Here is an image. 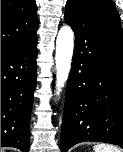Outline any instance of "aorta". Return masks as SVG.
Masks as SVG:
<instances>
[{
  "label": "aorta",
  "mask_w": 123,
  "mask_h": 152,
  "mask_svg": "<svg viewBox=\"0 0 123 152\" xmlns=\"http://www.w3.org/2000/svg\"><path fill=\"white\" fill-rule=\"evenodd\" d=\"M74 49V33L71 27L60 28L56 39V94L59 95L68 79Z\"/></svg>",
  "instance_id": "aorta-1"
}]
</instances>
